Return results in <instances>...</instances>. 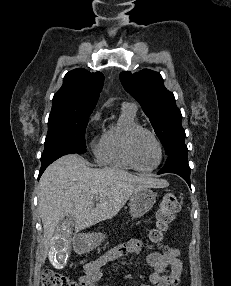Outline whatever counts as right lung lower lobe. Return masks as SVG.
<instances>
[{
  "mask_svg": "<svg viewBox=\"0 0 231 286\" xmlns=\"http://www.w3.org/2000/svg\"><path fill=\"white\" fill-rule=\"evenodd\" d=\"M66 154H70V153H62V154H57V155H54L53 157L47 159V160H44V161H41L42 165H41V169H40V172H39V177L38 179L40 178V176L42 175V173L45 171V169L52 163L54 162L56 159L60 158L61 156L63 155H66Z\"/></svg>",
  "mask_w": 231,
  "mask_h": 286,
  "instance_id": "obj_1",
  "label": "right lung lower lobe"
}]
</instances>
